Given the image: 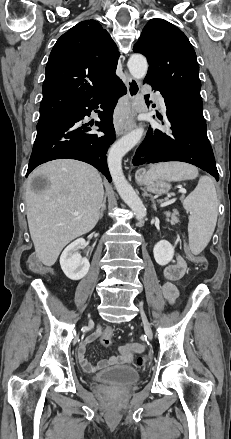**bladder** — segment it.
<instances>
[{
  "mask_svg": "<svg viewBox=\"0 0 231 439\" xmlns=\"http://www.w3.org/2000/svg\"><path fill=\"white\" fill-rule=\"evenodd\" d=\"M140 378L139 372L127 365L115 366L101 371L92 377L97 383H109L116 385H131Z\"/></svg>",
  "mask_w": 231,
  "mask_h": 439,
  "instance_id": "obj_1",
  "label": "bladder"
}]
</instances>
